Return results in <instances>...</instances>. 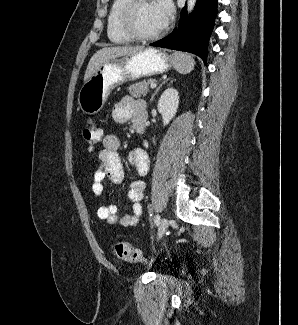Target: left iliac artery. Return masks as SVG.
I'll list each match as a JSON object with an SVG mask.
<instances>
[{
	"label": "left iliac artery",
	"instance_id": "44dca946",
	"mask_svg": "<svg viewBox=\"0 0 298 325\" xmlns=\"http://www.w3.org/2000/svg\"><path fill=\"white\" fill-rule=\"evenodd\" d=\"M159 223H160V215H156L155 216V224L159 225Z\"/></svg>",
	"mask_w": 298,
	"mask_h": 325
}]
</instances>
